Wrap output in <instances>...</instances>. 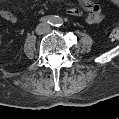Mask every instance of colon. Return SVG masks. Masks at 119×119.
<instances>
[{"label":"colon","mask_w":119,"mask_h":119,"mask_svg":"<svg viewBox=\"0 0 119 119\" xmlns=\"http://www.w3.org/2000/svg\"><path fill=\"white\" fill-rule=\"evenodd\" d=\"M109 38L113 41L119 39V27H113L109 32Z\"/></svg>","instance_id":"1"}]
</instances>
